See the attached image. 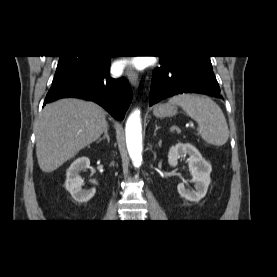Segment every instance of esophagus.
<instances>
[{"label": "esophagus", "instance_id": "1", "mask_svg": "<svg viewBox=\"0 0 277 277\" xmlns=\"http://www.w3.org/2000/svg\"><path fill=\"white\" fill-rule=\"evenodd\" d=\"M125 74L129 80V82L133 86L137 87L138 83H139V79H138V74L136 73V71L131 66H128L125 70Z\"/></svg>", "mask_w": 277, "mask_h": 277}]
</instances>
